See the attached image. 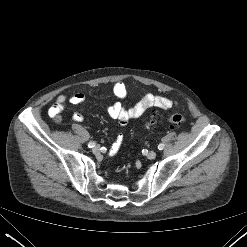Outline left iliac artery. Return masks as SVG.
Listing matches in <instances>:
<instances>
[{"label": "left iliac artery", "instance_id": "left-iliac-artery-1", "mask_svg": "<svg viewBox=\"0 0 247 247\" xmlns=\"http://www.w3.org/2000/svg\"><path fill=\"white\" fill-rule=\"evenodd\" d=\"M158 149H159V150H163V149H164V144H163V143H160V144L158 145Z\"/></svg>", "mask_w": 247, "mask_h": 247}]
</instances>
